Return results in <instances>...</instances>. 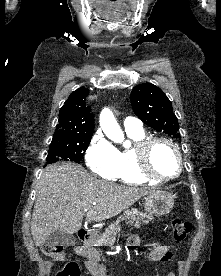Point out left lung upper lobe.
Returning a JSON list of instances; mask_svg holds the SVG:
<instances>
[{
	"label": "left lung upper lobe",
	"instance_id": "5c2ea615",
	"mask_svg": "<svg viewBox=\"0 0 221 276\" xmlns=\"http://www.w3.org/2000/svg\"><path fill=\"white\" fill-rule=\"evenodd\" d=\"M130 100L134 113L145 124L170 136L180 137L172 103L159 87L151 83L137 85L131 92Z\"/></svg>",
	"mask_w": 221,
	"mask_h": 276
}]
</instances>
